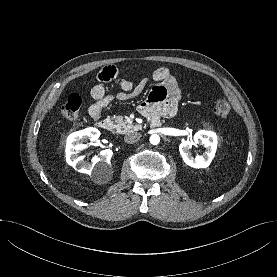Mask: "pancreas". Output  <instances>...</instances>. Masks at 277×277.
Segmentation results:
<instances>
[{
  "instance_id": "pancreas-1",
  "label": "pancreas",
  "mask_w": 277,
  "mask_h": 277,
  "mask_svg": "<svg viewBox=\"0 0 277 277\" xmlns=\"http://www.w3.org/2000/svg\"><path fill=\"white\" fill-rule=\"evenodd\" d=\"M114 120V128L117 133L125 134L134 130H137V126L128 124L126 120L122 116H114L112 118Z\"/></svg>"
}]
</instances>
